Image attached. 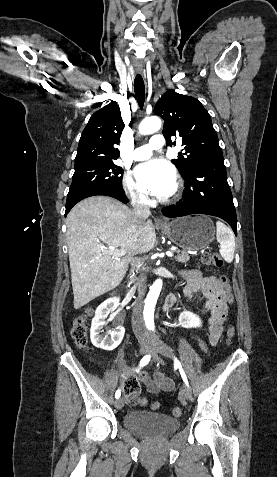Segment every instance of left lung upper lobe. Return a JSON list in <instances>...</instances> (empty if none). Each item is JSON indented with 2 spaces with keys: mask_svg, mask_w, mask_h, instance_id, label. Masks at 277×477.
<instances>
[{
  "mask_svg": "<svg viewBox=\"0 0 277 477\" xmlns=\"http://www.w3.org/2000/svg\"><path fill=\"white\" fill-rule=\"evenodd\" d=\"M154 112L164 119L163 135L168 145L173 144L171 136L182 138L186 156L179 154L172 163L183 177L189 176L199 161L223 156L211 117L198 99L168 90Z\"/></svg>",
  "mask_w": 277,
  "mask_h": 477,
  "instance_id": "1",
  "label": "left lung upper lobe"
}]
</instances>
